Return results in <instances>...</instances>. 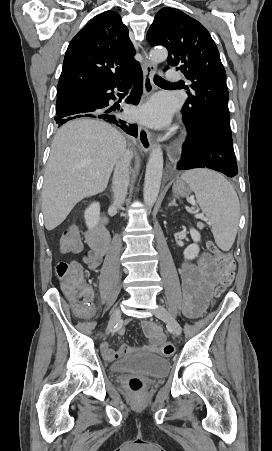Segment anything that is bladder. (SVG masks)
<instances>
[{
    "label": "bladder",
    "instance_id": "31cf9c89",
    "mask_svg": "<svg viewBox=\"0 0 272 451\" xmlns=\"http://www.w3.org/2000/svg\"><path fill=\"white\" fill-rule=\"evenodd\" d=\"M113 374L137 372L143 376L163 377L168 374L169 361L156 354H130L110 364Z\"/></svg>",
    "mask_w": 272,
    "mask_h": 451
}]
</instances>
